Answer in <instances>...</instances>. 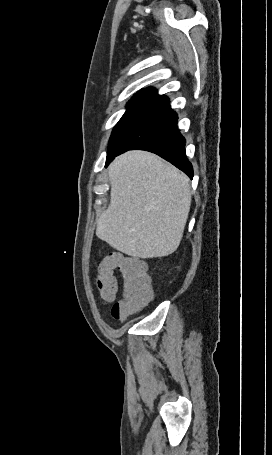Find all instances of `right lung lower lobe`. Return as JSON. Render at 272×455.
<instances>
[{
  "instance_id": "98d812e1",
  "label": "right lung lower lobe",
  "mask_w": 272,
  "mask_h": 455,
  "mask_svg": "<svg viewBox=\"0 0 272 455\" xmlns=\"http://www.w3.org/2000/svg\"><path fill=\"white\" fill-rule=\"evenodd\" d=\"M177 115L170 105L129 131L107 153V166L119 154L132 150H147L161 156L193 178V168L185 154V139L176 124Z\"/></svg>"
}]
</instances>
